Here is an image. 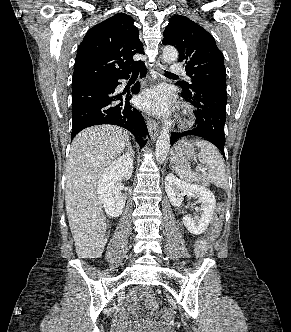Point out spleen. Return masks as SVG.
<instances>
[{"instance_id": "spleen-1", "label": "spleen", "mask_w": 291, "mask_h": 332, "mask_svg": "<svg viewBox=\"0 0 291 332\" xmlns=\"http://www.w3.org/2000/svg\"><path fill=\"white\" fill-rule=\"evenodd\" d=\"M195 145L200 148L198 160L208 168L206 175H200L192 172L189 165L175 166L177 175L186 182L199 181L206 179L217 187L228 188V176L225 170V164L220 152L210 142L198 140Z\"/></svg>"}]
</instances>
